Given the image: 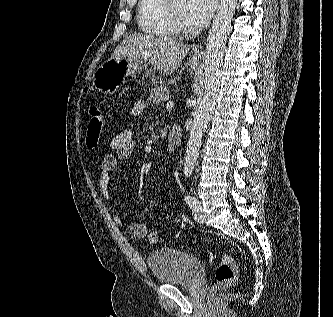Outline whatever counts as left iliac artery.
<instances>
[{
	"mask_svg": "<svg viewBox=\"0 0 333 317\" xmlns=\"http://www.w3.org/2000/svg\"><path fill=\"white\" fill-rule=\"evenodd\" d=\"M184 200L191 208H195L197 206L198 200L194 196L186 195Z\"/></svg>",
	"mask_w": 333,
	"mask_h": 317,
	"instance_id": "44dca946",
	"label": "left iliac artery"
}]
</instances>
